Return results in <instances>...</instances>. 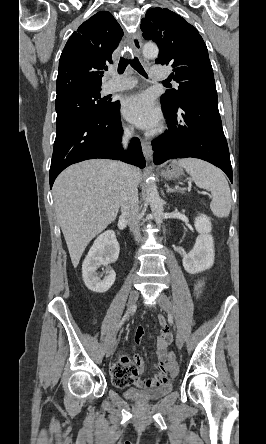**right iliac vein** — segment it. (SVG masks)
Instances as JSON below:
<instances>
[{
  "label": "right iliac vein",
  "instance_id": "1",
  "mask_svg": "<svg viewBox=\"0 0 266 444\" xmlns=\"http://www.w3.org/2000/svg\"><path fill=\"white\" fill-rule=\"evenodd\" d=\"M138 298H139V292L136 290H132L129 295V299H128V308H131L132 306H134V304L137 302ZM116 342H117V338H116V336H114L110 340V342L107 346V349H106V356L107 357H109L112 354Z\"/></svg>",
  "mask_w": 266,
  "mask_h": 444
}]
</instances>
